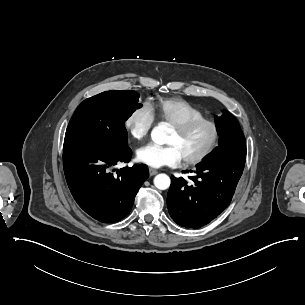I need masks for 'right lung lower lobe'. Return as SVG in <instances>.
I'll list each match as a JSON object with an SVG mask.
<instances>
[{
  "mask_svg": "<svg viewBox=\"0 0 305 305\" xmlns=\"http://www.w3.org/2000/svg\"><path fill=\"white\" fill-rule=\"evenodd\" d=\"M132 156L127 146L113 151L89 147L63 150V166L68 187L78 205L103 223L117 222L127 216L134 198L149 176L145 165L117 170L118 162H129Z\"/></svg>",
  "mask_w": 305,
  "mask_h": 305,
  "instance_id": "1",
  "label": "right lung lower lobe"
}]
</instances>
